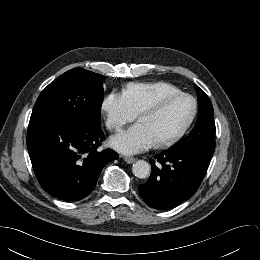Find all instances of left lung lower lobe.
<instances>
[{
  "instance_id": "left-lung-lower-lobe-1",
  "label": "left lung lower lobe",
  "mask_w": 260,
  "mask_h": 260,
  "mask_svg": "<svg viewBox=\"0 0 260 260\" xmlns=\"http://www.w3.org/2000/svg\"><path fill=\"white\" fill-rule=\"evenodd\" d=\"M150 161L152 173L138 192L150 207L169 210L188 200L200 186L211 154L168 149Z\"/></svg>"
}]
</instances>
